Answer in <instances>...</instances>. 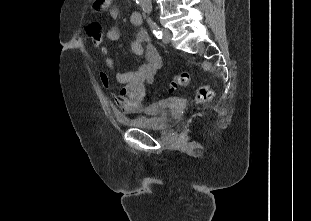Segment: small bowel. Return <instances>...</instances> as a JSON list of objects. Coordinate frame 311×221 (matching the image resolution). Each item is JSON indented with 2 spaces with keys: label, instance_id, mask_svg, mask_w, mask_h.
I'll list each match as a JSON object with an SVG mask.
<instances>
[{
  "label": "small bowel",
  "instance_id": "1",
  "mask_svg": "<svg viewBox=\"0 0 311 221\" xmlns=\"http://www.w3.org/2000/svg\"><path fill=\"white\" fill-rule=\"evenodd\" d=\"M101 8H99L100 10ZM109 14L112 18L120 15L118 6H111ZM131 23L139 26L142 23V16L138 12L131 15ZM120 37V31L117 27H111L107 32V38L110 41H116ZM132 52L137 56H143L145 62L141 63L135 70L116 73L115 79L120 87L113 86L109 76L105 72L100 73V81L103 87L109 90L113 105L120 114H135L142 109V99L146 94V87L154 80L157 70L161 66V57L157 49L150 42L146 31H139L131 45ZM100 53L104 56V65L109 69L115 68L114 60L108 56L109 48L102 46Z\"/></svg>",
  "mask_w": 311,
  "mask_h": 221
}]
</instances>
